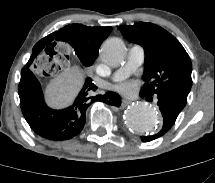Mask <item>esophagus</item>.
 <instances>
[{
    "mask_svg": "<svg viewBox=\"0 0 215 183\" xmlns=\"http://www.w3.org/2000/svg\"><path fill=\"white\" fill-rule=\"evenodd\" d=\"M130 103H132V100H130V99L124 98V99L122 100V106H126V105H128V104H130Z\"/></svg>",
    "mask_w": 215,
    "mask_h": 183,
    "instance_id": "esophagus-1",
    "label": "esophagus"
}]
</instances>
